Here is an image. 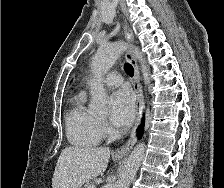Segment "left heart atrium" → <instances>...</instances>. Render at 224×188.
Wrapping results in <instances>:
<instances>
[{"label":"left heart atrium","instance_id":"39dd6f15","mask_svg":"<svg viewBox=\"0 0 224 188\" xmlns=\"http://www.w3.org/2000/svg\"><path fill=\"white\" fill-rule=\"evenodd\" d=\"M135 117V103L132 92L123 88L114 93L112 98L111 122L120 129L129 127Z\"/></svg>","mask_w":224,"mask_h":188}]
</instances>
